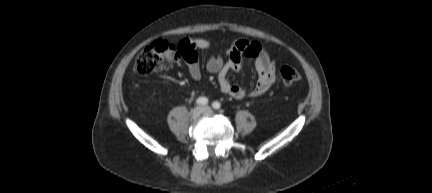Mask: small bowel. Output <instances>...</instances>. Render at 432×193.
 I'll return each mask as SVG.
<instances>
[{"label": "small bowel", "instance_id": "obj_1", "mask_svg": "<svg viewBox=\"0 0 432 193\" xmlns=\"http://www.w3.org/2000/svg\"><path fill=\"white\" fill-rule=\"evenodd\" d=\"M210 41L204 38L190 37L179 42L178 49L184 58L189 75L193 81H199L202 77L197 50H208ZM228 60L222 57H209L206 60V68L217 75V81L222 93L235 99L245 97L256 98L264 95L276 82V65L266 49L258 42L237 40L227 50ZM253 60L258 79L251 91L244 87L233 85L229 80L230 72H238L241 69L242 60Z\"/></svg>", "mask_w": 432, "mask_h": 193}]
</instances>
